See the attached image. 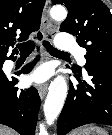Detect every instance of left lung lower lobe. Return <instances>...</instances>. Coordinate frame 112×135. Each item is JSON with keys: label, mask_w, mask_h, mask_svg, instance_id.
<instances>
[{"label": "left lung lower lobe", "mask_w": 112, "mask_h": 135, "mask_svg": "<svg viewBox=\"0 0 112 135\" xmlns=\"http://www.w3.org/2000/svg\"><path fill=\"white\" fill-rule=\"evenodd\" d=\"M72 69L79 84L70 82L57 134L66 135L72 129L91 123L112 125V67H89L91 84L82 80L81 72Z\"/></svg>", "instance_id": "obj_1"}]
</instances>
